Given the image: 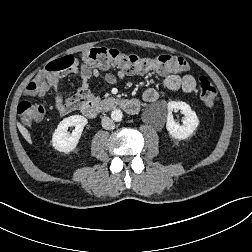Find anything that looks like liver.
Listing matches in <instances>:
<instances>
[{
	"label": "liver",
	"mask_w": 252,
	"mask_h": 252,
	"mask_svg": "<svg viewBox=\"0 0 252 252\" xmlns=\"http://www.w3.org/2000/svg\"><path fill=\"white\" fill-rule=\"evenodd\" d=\"M17 126H18V129H19L20 133L25 138V140L28 143L31 144L32 143V139H31V136H30V133L28 132V130L23 125H21L20 123H18Z\"/></svg>",
	"instance_id": "obj_1"
}]
</instances>
